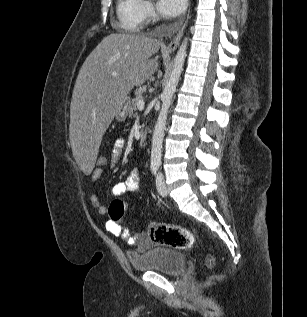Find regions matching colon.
Masks as SVG:
<instances>
[{
  "instance_id": "5ec220e1",
  "label": "colon",
  "mask_w": 307,
  "mask_h": 317,
  "mask_svg": "<svg viewBox=\"0 0 307 317\" xmlns=\"http://www.w3.org/2000/svg\"><path fill=\"white\" fill-rule=\"evenodd\" d=\"M109 159L99 154L96 159V168L107 167ZM111 220L115 223H121L125 217L126 205L121 199H114L108 210ZM148 235L150 240L157 245L171 247L179 250L191 249L195 246L192 233L184 227L170 224L149 223ZM207 264L211 268L214 259L209 256Z\"/></svg>"
}]
</instances>
